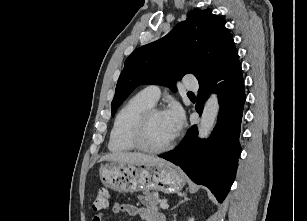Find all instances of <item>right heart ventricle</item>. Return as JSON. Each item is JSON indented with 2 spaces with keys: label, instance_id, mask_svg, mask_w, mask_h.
<instances>
[{
  "label": "right heart ventricle",
  "instance_id": "right-heart-ventricle-1",
  "mask_svg": "<svg viewBox=\"0 0 307 221\" xmlns=\"http://www.w3.org/2000/svg\"><path fill=\"white\" fill-rule=\"evenodd\" d=\"M153 106L154 103L138 93L120 108L110 132L108 148L111 152L123 153L136 149L131 138L133 127L141 113Z\"/></svg>",
  "mask_w": 307,
  "mask_h": 221
}]
</instances>
